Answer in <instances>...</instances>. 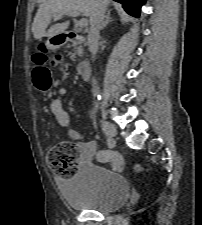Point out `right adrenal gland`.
Wrapping results in <instances>:
<instances>
[{
    "label": "right adrenal gland",
    "mask_w": 202,
    "mask_h": 225,
    "mask_svg": "<svg viewBox=\"0 0 202 225\" xmlns=\"http://www.w3.org/2000/svg\"><path fill=\"white\" fill-rule=\"evenodd\" d=\"M111 11L109 10L105 16V20L102 22L100 30L104 29L113 19L110 18Z\"/></svg>",
    "instance_id": "right-adrenal-gland-1"
}]
</instances>
